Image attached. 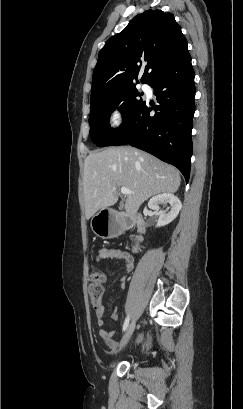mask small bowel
Here are the masks:
<instances>
[{
  "instance_id": "c3829d8e",
  "label": "small bowel",
  "mask_w": 243,
  "mask_h": 409,
  "mask_svg": "<svg viewBox=\"0 0 243 409\" xmlns=\"http://www.w3.org/2000/svg\"><path fill=\"white\" fill-rule=\"evenodd\" d=\"M102 260H118L123 263L124 270L126 272H130L133 269V259L130 254L127 252L117 249V248H102L100 249L96 256H95V261L96 263H100ZM126 281V277L123 276L121 278V282L124 283ZM103 314H104V307L100 306L96 308L95 311V318H96V324L100 328V336L102 339L106 342L107 346L111 350H116L117 348V342L114 340V335L115 332L111 330H107L104 328V319H103ZM114 322H118L119 319L117 315H113L112 317ZM136 343L140 345L141 350H148L151 348L153 344V339L152 337H148L145 341H142V336L139 335L136 338Z\"/></svg>"
}]
</instances>
